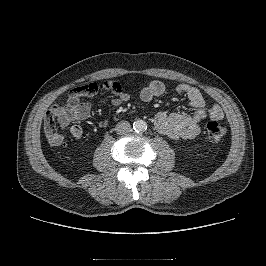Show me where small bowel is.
<instances>
[{
    "label": "small bowel",
    "instance_id": "c3829d8e",
    "mask_svg": "<svg viewBox=\"0 0 266 266\" xmlns=\"http://www.w3.org/2000/svg\"><path fill=\"white\" fill-rule=\"evenodd\" d=\"M176 92L184 96L189 104L194 108L191 115L184 113H165L160 112L155 116L154 126L156 130L170 139H193L200 132V124L206 119L220 120L224 117L223 110L220 106L214 105L206 109V103L201 92L186 83H180L176 86ZM166 91L165 85L158 80L150 82L140 92V98L144 102H149L155 97L161 96ZM130 95L126 92H120L111 100L112 106H118L129 101ZM51 112L61 129L68 131L69 135L75 139L83 136V130L78 125H71L74 121H83L89 118L91 113V105L82 100V97H69L67 102L62 105L55 106ZM108 119L102 120L99 125L105 126ZM45 135L52 145H60L64 142V136L61 135L55 124L51 130L44 126Z\"/></svg>",
    "mask_w": 266,
    "mask_h": 266
}]
</instances>
